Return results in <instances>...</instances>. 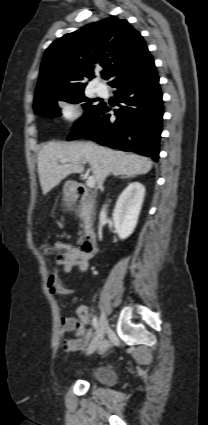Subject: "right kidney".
<instances>
[{
	"mask_svg": "<svg viewBox=\"0 0 208 425\" xmlns=\"http://www.w3.org/2000/svg\"><path fill=\"white\" fill-rule=\"evenodd\" d=\"M144 196L145 187L140 182L130 183L120 194L113 211L114 227L120 239L124 240L133 233Z\"/></svg>",
	"mask_w": 208,
	"mask_h": 425,
	"instance_id": "obj_1",
	"label": "right kidney"
}]
</instances>
